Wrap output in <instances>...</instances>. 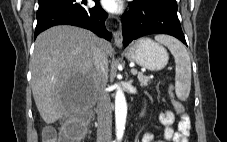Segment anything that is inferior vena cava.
Wrapping results in <instances>:
<instances>
[{
    "instance_id": "obj_1",
    "label": "inferior vena cava",
    "mask_w": 227,
    "mask_h": 142,
    "mask_svg": "<svg viewBox=\"0 0 227 142\" xmlns=\"http://www.w3.org/2000/svg\"><path fill=\"white\" fill-rule=\"evenodd\" d=\"M93 64L95 67V83L99 88V101L97 105V142H111L112 111L109 95L104 90L107 81L108 59L105 52L99 46L94 48Z\"/></svg>"
}]
</instances>
